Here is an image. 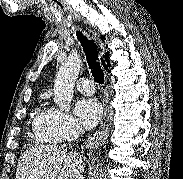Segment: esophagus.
Wrapping results in <instances>:
<instances>
[{"mask_svg": "<svg viewBox=\"0 0 183 179\" xmlns=\"http://www.w3.org/2000/svg\"><path fill=\"white\" fill-rule=\"evenodd\" d=\"M96 36V34H95ZM100 46H101V41L99 40ZM112 111L109 108V106L106 107L105 109V114L101 120V125L99 130H97L93 136H91L88 140H87V146L88 147H98L101 146L102 144H104V142L107 139V136L109 134V131L111 129L112 126Z\"/></svg>", "mask_w": 183, "mask_h": 179, "instance_id": "34e87169", "label": "esophagus"}]
</instances>
